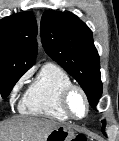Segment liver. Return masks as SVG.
I'll list each match as a JSON object with an SVG mask.
<instances>
[{
    "label": "liver",
    "mask_w": 119,
    "mask_h": 141,
    "mask_svg": "<svg viewBox=\"0 0 119 141\" xmlns=\"http://www.w3.org/2000/svg\"><path fill=\"white\" fill-rule=\"evenodd\" d=\"M60 123L37 117H22L0 125V141H44Z\"/></svg>",
    "instance_id": "6515ba94"
}]
</instances>
